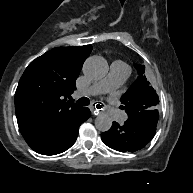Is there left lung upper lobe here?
<instances>
[{"label":"left lung upper lobe","mask_w":193,"mask_h":193,"mask_svg":"<svg viewBox=\"0 0 193 193\" xmlns=\"http://www.w3.org/2000/svg\"><path fill=\"white\" fill-rule=\"evenodd\" d=\"M135 68L139 77L120 99L125 104V111L128 117L142 111H146V114L158 113L159 98L144 75L145 67L135 64Z\"/></svg>","instance_id":"obj_1"}]
</instances>
